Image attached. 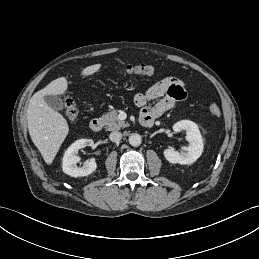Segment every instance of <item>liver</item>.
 <instances>
[{
  "instance_id": "6515ba94",
  "label": "liver",
  "mask_w": 259,
  "mask_h": 259,
  "mask_svg": "<svg viewBox=\"0 0 259 259\" xmlns=\"http://www.w3.org/2000/svg\"><path fill=\"white\" fill-rule=\"evenodd\" d=\"M101 64L84 68L83 76L96 73ZM68 89L65 77L50 82L46 87L37 91L30 99L27 109L28 130L35 146L40 151L44 161L51 164L69 132L66 119L48 106L44 97L47 95H62Z\"/></svg>"
}]
</instances>
